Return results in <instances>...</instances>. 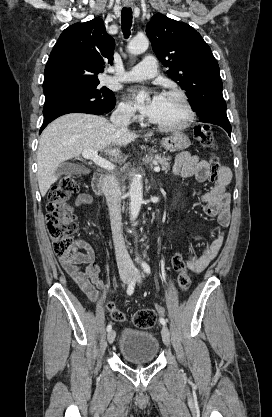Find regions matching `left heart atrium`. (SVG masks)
<instances>
[{
	"mask_svg": "<svg viewBox=\"0 0 272 417\" xmlns=\"http://www.w3.org/2000/svg\"><path fill=\"white\" fill-rule=\"evenodd\" d=\"M133 98L138 109L149 118H154L159 112L164 96L160 94H154L152 96H146L142 90L137 89L133 91Z\"/></svg>",
	"mask_w": 272,
	"mask_h": 417,
	"instance_id": "39dd6f15",
	"label": "left heart atrium"
}]
</instances>
